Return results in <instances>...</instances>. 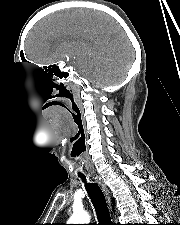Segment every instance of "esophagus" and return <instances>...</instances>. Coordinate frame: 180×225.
I'll use <instances>...</instances> for the list:
<instances>
[{
    "label": "esophagus",
    "instance_id": "obj_1",
    "mask_svg": "<svg viewBox=\"0 0 180 225\" xmlns=\"http://www.w3.org/2000/svg\"><path fill=\"white\" fill-rule=\"evenodd\" d=\"M94 179H95L96 182L101 186L103 192L105 193L107 202H108L109 206H111V198H110L109 190L107 189V187H106V185L104 184L103 180H102L101 177H99V176H95Z\"/></svg>",
    "mask_w": 180,
    "mask_h": 225
}]
</instances>
